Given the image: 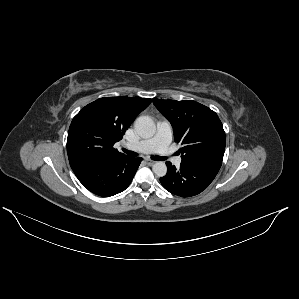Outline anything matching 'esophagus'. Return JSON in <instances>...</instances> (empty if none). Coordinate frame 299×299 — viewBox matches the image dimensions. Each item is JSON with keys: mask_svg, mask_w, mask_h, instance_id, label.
<instances>
[{"mask_svg": "<svg viewBox=\"0 0 299 299\" xmlns=\"http://www.w3.org/2000/svg\"><path fill=\"white\" fill-rule=\"evenodd\" d=\"M145 162L148 164V165H153L155 163V161L149 159V158H146L145 159Z\"/></svg>", "mask_w": 299, "mask_h": 299, "instance_id": "34e87169", "label": "esophagus"}]
</instances>
